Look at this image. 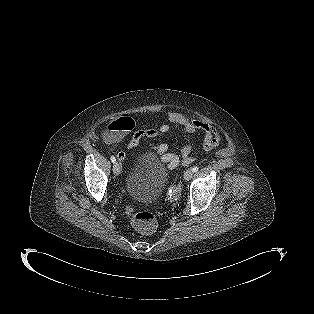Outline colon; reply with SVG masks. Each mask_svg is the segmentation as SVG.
<instances>
[{
  "label": "colon",
  "mask_w": 314,
  "mask_h": 314,
  "mask_svg": "<svg viewBox=\"0 0 314 314\" xmlns=\"http://www.w3.org/2000/svg\"><path fill=\"white\" fill-rule=\"evenodd\" d=\"M133 126L134 122L130 116H121L108 125L104 133V138L108 142H116L122 138L125 133L130 131ZM126 212L129 215L134 228L141 234L151 235L155 231L156 219L151 212H135L132 206H128Z\"/></svg>",
  "instance_id": "5ec220e1"
}]
</instances>
